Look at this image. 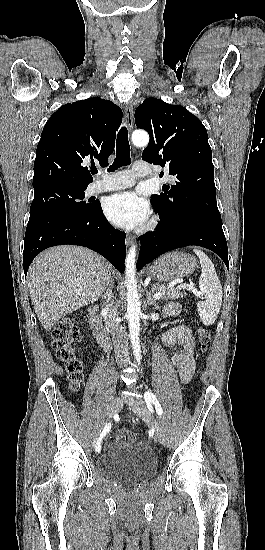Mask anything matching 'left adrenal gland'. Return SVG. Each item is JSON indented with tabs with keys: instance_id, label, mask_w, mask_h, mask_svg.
Returning a JSON list of instances; mask_svg holds the SVG:
<instances>
[{
	"instance_id": "obj_1",
	"label": "left adrenal gland",
	"mask_w": 265,
	"mask_h": 550,
	"mask_svg": "<svg viewBox=\"0 0 265 550\" xmlns=\"http://www.w3.org/2000/svg\"><path fill=\"white\" fill-rule=\"evenodd\" d=\"M146 303H147L148 305H153L155 310H159V309H160L159 303H157V302L152 298V291H147Z\"/></svg>"
}]
</instances>
